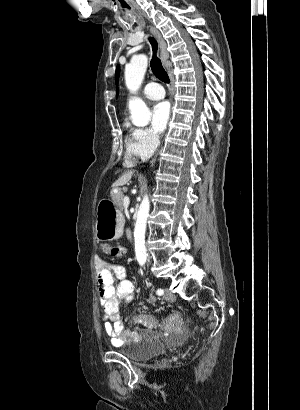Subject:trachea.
Instances as JSON below:
<instances>
[{
	"instance_id": "obj_1",
	"label": "trachea",
	"mask_w": 300,
	"mask_h": 410,
	"mask_svg": "<svg viewBox=\"0 0 300 410\" xmlns=\"http://www.w3.org/2000/svg\"><path fill=\"white\" fill-rule=\"evenodd\" d=\"M149 42H150V44L152 46V50H153V55H152V59H151V62H150L152 72L154 73V75L160 81H162L164 83H170V79L168 77V74L166 73L165 69L163 68L161 60L157 57V49H158L157 41L154 38L149 37Z\"/></svg>"
}]
</instances>
